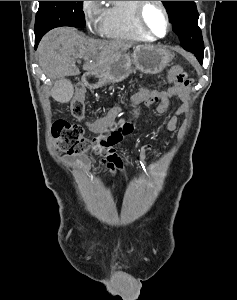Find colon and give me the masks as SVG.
<instances>
[{
  "label": "colon",
  "mask_w": 237,
  "mask_h": 300,
  "mask_svg": "<svg viewBox=\"0 0 237 300\" xmlns=\"http://www.w3.org/2000/svg\"><path fill=\"white\" fill-rule=\"evenodd\" d=\"M172 73L174 74L176 85L187 86L191 83L188 73L181 66L173 68ZM162 92L155 90L154 93L144 97L142 102L147 106H151L159 102ZM85 97V87L82 84H78L70 104L71 113L77 119H82L84 116ZM138 117L139 111L135 110L130 118L114 121L94 139L86 138L80 125L59 121L53 126L52 138L59 150L72 156L84 154L91 149L94 151L110 150L120 143L125 136L134 132Z\"/></svg>",
  "instance_id": "colon-1"
}]
</instances>
